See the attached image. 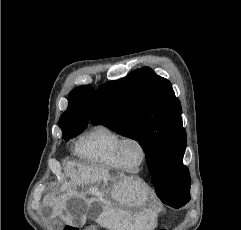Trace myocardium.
<instances>
[{"instance_id": "obj_1", "label": "myocardium", "mask_w": 241, "mask_h": 230, "mask_svg": "<svg viewBox=\"0 0 241 230\" xmlns=\"http://www.w3.org/2000/svg\"><path fill=\"white\" fill-rule=\"evenodd\" d=\"M129 142H135L136 144H138L141 151H142V160H141V162H140V164L138 165L137 168H131L126 163V161L124 160V157H123L124 147ZM116 154H117L118 161L120 162L122 167L127 171H138V170H140L145 165V163L147 162V159H148V149H147L146 144L139 137L134 136V135H125V136H122L120 138V140L117 144Z\"/></svg>"}]
</instances>
